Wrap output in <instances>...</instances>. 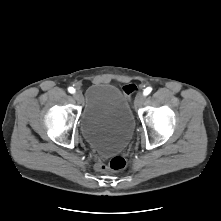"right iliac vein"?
I'll return each mask as SVG.
<instances>
[{
    "label": "right iliac vein",
    "instance_id": "obj_1",
    "mask_svg": "<svg viewBox=\"0 0 221 221\" xmlns=\"http://www.w3.org/2000/svg\"><path fill=\"white\" fill-rule=\"evenodd\" d=\"M74 98H75L76 101L82 102V100H83V95H82L81 91H76V92L74 93Z\"/></svg>",
    "mask_w": 221,
    "mask_h": 221
}]
</instances>
